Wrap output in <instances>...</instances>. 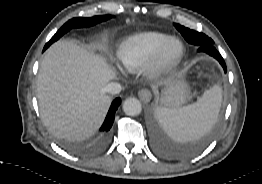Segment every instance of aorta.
I'll return each mask as SVG.
<instances>
[{
	"instance_id": "aorta-1",
	"label": "aorta",
	"mask_w": 262,
	"mask_h": 184,
	"mask_svg": "<svg viewBox=\"0 0 262 184\" xmlns=\"http://www.w3.org/2000/svg\"><path fill=\"white\" fill-rule=\"evenodd\" d=\"M123 111L129 116H137L142 111V105L137 98H127L123 103Z\"/></svg>"
}]
</instances>
